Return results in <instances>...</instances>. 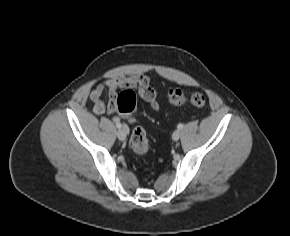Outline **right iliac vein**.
Listing matches in <instances>:
<instances>
[{
	"label": "right iliac vein",
	"instance_id": "1",
	"mask_svg": "<svg viewBox=\"0 0 290 236\" xmlns=\"http://www.w3.org/2000/svg\"><path fill=\"white\" fill-rule=\"evenodd\" d=\"M128 132V127L126 125H123L121 129L117 131V137L119 140L124 141L126 139Z\"/></svg>",
	"mask_w": 290,
	"mask_h": 236
}]
</instances>
